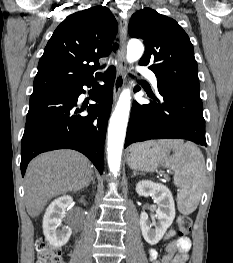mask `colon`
Wrapping results in <instances>:
<instances>
[{"label": "colon", "instance_id": "1", "mask_svg": "<svg viewBox=\"0 0 233 263\" xmlns=\"http://www.w3.org/2000/svg\"><path fill=\"white\" fill-rule=\"evenodd\" d=\"M192 227V221L189 216L182 215L178 218V233L180 236H187ZM37 262L36 263H62L61 250L52 247L48 241L41 237L35 244Z\"/></svg>", "mask_w": 233, "mask_h": 263}]
</instances>
